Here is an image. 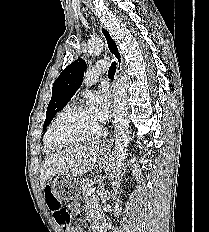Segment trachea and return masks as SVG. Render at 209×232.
Returning a JSON list of instances; mask_svg holds the SVG:
<instances>
[{"label": "trachea", "mask_w": 209, "mask_h": 232, "mask_svg": "<svg viewBox=\"0 0 209 232\" xmlns=\"http://www.w3.org/2000/svg\"><path fill=\"white\" fill-rule=\"evenodd\" d=\"M115 72H116V62L114 61L111 63L110 69L108 71V77L114 78Z\"/></svg>", "instance_id": "trachea-1"}]
</instances>
